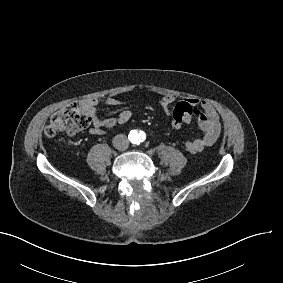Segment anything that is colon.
<instances>
[{
  "label": "colon",
  "instance_id": "5ec220e1",
  "mask_svg": "<svg viewBox=\"0 0 283 283\" xmlns=\"http://www.w3.org/2000/svg\"><path fill=\"white\" fill-rule=\"evenodd\" d=\"M85 113L86 110L81 103H71L70 106H66L52 115L50 124L44 129V135L47 138H54L61 133L73 135L87 129L89 121L88 115ZM191 114L192 107L186 102L180 103L174 115L173 126L178 128L181 123L191 126Z\"/></svg>",
  "mask_w": 283,
  "mask_h": 283
}]
</instances>
